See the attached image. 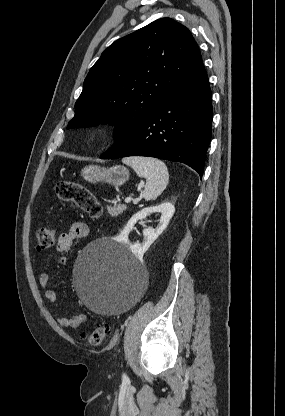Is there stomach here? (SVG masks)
I'll use <instances>...</instances> for the list:
<instances>
[{
	"mask_svg": "<svg viewBox=\"0 0 285 416\" xmlns=\"http://www.w3.org/2000/svg\"><path fill=\"white\" fill-rule=\"evenodd\" d=\"M82 178L91 184L106 182L111 186H123L129 180V172L124 166H113V168H100V166H85L81 172Z\"/></svg>",
	"mask_w": 285,
	"mask_h": 416,
	"instance_id": "0dacf381",
	"label": "stomach"
}]
</instances>
